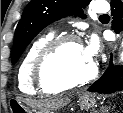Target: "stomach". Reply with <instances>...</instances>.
<instances>
[{"instance_id":"stomach-1","label":"stomach","mask_w":123,"mask_h":113,"mask_svg":"<svg viewBox=\"0 0 123 113\" xmlns=\"http://www.w3.org/2000/svg\"><path fill=\"white\" fill-rule=\"evenodd\" d=\"M79 105L81 109L88 110L96 104V99L93 95L90 94H83L79 97ZM9 108L11 112L16 113H32V110L25 105H23L19 100L11 99L9 101Z\"/></svg>"}]
</instances>
